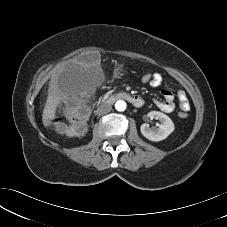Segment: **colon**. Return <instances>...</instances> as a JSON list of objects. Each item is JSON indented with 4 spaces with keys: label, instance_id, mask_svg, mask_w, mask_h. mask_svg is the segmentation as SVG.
Wrapping results in <instances>:
<instances>
[{
    "label": "colon",
    "instance_id": "1",
    "mask_svg": "<svg viewBox=\"0 0 227 227\" xmlns=\"http://www.w3.org/2000/svg\"><path fill=\"white\" fill-rule=\"evenodd\" d=\"M155 73H143L140 76V80L144 84L150 85L154 80ZM88 110L84 106H80L70 112L71 124H66L58 119L54 121L55 129L61 134L74 135L78 134L84 129L87 119ZM180 117L185 118L187 113L182 111L179 113Z\"/></svg>",
    "mask_w": 227,
    "mask_h": 227
}]
</instances>
